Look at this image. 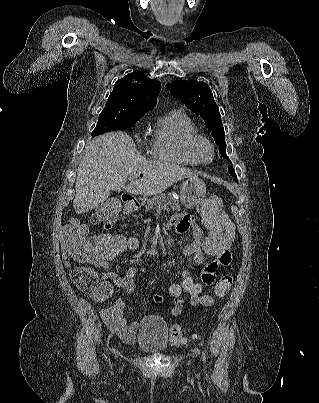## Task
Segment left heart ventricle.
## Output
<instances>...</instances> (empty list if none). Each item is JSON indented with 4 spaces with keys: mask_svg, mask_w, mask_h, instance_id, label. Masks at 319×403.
I'll use <instances>...</instances> for the list:
<instances>
[{
    "mask_svg": "<svg viewBox=\"0 0 319 403\" xmlns=\"http://www.w3.org/2000/svg\"><path fill=\"white\" fill-rule=\"evenodd\" d=\"M200 156L203 160H209L210 159V150L207 146L202 145L200 147Z\"/></svg>",
    "mask_w": 319,
    "mask_h": 403,
    "instance_id": "obj_1",
    "label": "left heart ventricle"
}]
</instances>
